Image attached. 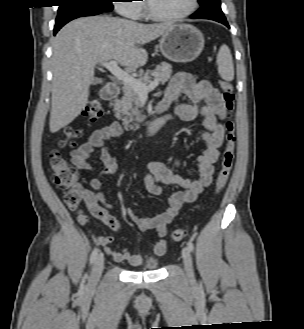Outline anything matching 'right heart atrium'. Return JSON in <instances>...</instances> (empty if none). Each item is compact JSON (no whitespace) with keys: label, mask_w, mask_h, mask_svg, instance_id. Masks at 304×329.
Returning a JSON list of instances; mask_svg holds the SVG:
<instances>
[{"label":"right heart atrium","mask_w":304,"mask_h":329,"mask_svg":"<svg viewBox=\"0 0 304 329\" xmlns=\"http://www.w3.org/2000/svg\"><path fill=\"white\" fill-rule=\"evenodd\" d=\"M116 10L119 14L129 17L131 19H140L143 15V1L142 0H117ZM134 2H140L138 4Z\"/></svg>","instance_id":"d8ad5b80"}]
</instances>
